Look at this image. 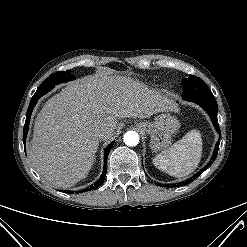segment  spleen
<instances>
[{
	"label": "spleen",
	"mask_w": 247,
	"mask_h": 247,
	"mask_svg": "<svg viewBox=\"0 0 247 247\" xmlns=\"http://www.w3.org/2000/svg\"><path fill=\"white\" fill-rule=\"evenodd\" d=\"M202 138L191 130L169 149L153 159L154 166L174 177H185L195 170L202 156Z\"/></svg>",
	"instance_id": "spleen-1"
}]
</instances>
